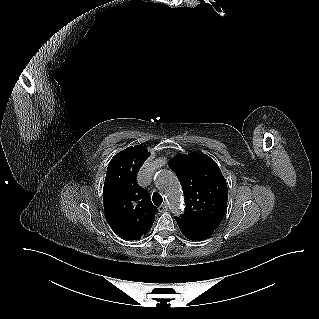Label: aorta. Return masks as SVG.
<instances>
[{
  "mask_svg": "<svg viewBox=\"0 0 319 319\" xmlns=\"http://www.w3.org/2000/svg\"><path fill=\"white\" fill-rule=\"evenodd\" d=\"M156 185L165 193L170 209L174 214L182 213V206L180 204L179 186L174 174L170 170L161 169L154 177Z\"/></svg>",
  "mask_w": 319,
  "mask_h": 319,
  "instance_id": "aorta-1",
  "label": "aorta"
}]
</instances>
